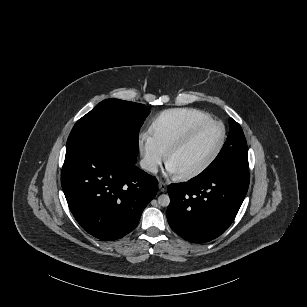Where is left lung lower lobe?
Instances as JSON below:
<instances>
[{"label": "left lung lower lobe", "instance_id": "1", "mask_svg": "<svg viewBox=\"0 0 307 307\" xmlns=\"http://www.w3.org/2000/svg\"><path fill=\"white\" fill-rule=\"evenodd\" d=\"M249 172L225 168L168 188L167 219L187 241L217 238L233 222L248 190Z\"/></svg>", "mask_w": 307, "mask_h": 307}]
</instances>
